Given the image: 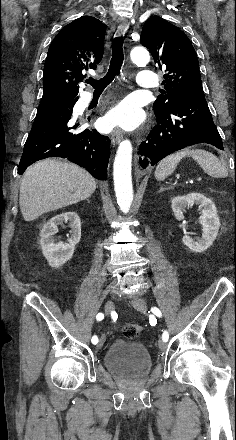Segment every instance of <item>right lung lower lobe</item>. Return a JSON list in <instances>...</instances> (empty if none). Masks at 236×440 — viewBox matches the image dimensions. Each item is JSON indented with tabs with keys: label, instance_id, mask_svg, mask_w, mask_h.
I'll use <instances>...</instances> for the list:
<instances>
[{
	"label": "right lung lower lobe",
	"instance_id": "1",
	"mask_svg": "<svg viewBox=\"0 0 236 440\" xmlns=\"http://www.w3.org/2000/svg\"><path fill=\"white\" fill-rule=\"evenodd\" d=\"M77 100L39 105L23 149L19 174L38 160L61 157L86 168L99 180L107 179L109 139L95 129L81 128V123L73 117V107Z\"/></svg>",
	"mask_w": 236,
	"mask_h": 440
}]
</instances>
